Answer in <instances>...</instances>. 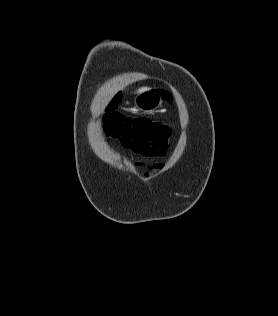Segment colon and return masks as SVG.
Wrapping results in <instances>:
<instances>
[{
  "label": "colon",
  "mask_w": 278,
  "mask_h": 316,
  "mask_svg": "<svg viewBox=\"0 0 278 316\" xmlns=\"http://www.w3.org/2000/svg\"><path fill=\"white\" fill-rule=\"evenodd\" d=\"M105 133L145 156H164L168 150L171 131L166 125L145 118H130L109 112L104 118Z\"/></svg>",
  "instance_id": "colon-1"
}]
</instances>
